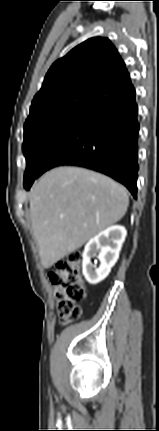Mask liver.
Returning <instances> with one entry per match:
<instances>
[{
    "label": "liver",
    "mask_w": 159,
    "mask_h": 431,
    "mask_svg": "<svg viewBox=\"0 0 159 431\" xmlns=\"http://www.w3.org/2000/svg\"><path fill=\"white\" fill-rule=\"evenodd\" d=\"M30 220L44 268L67 254L126 213L124 186L100 173L58 167L45 173L30 190Z\"/></svg>",
    "instance_id": "6515ba94"
}]
</instances>
